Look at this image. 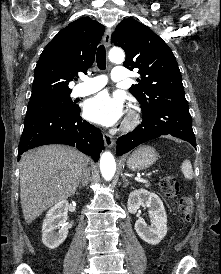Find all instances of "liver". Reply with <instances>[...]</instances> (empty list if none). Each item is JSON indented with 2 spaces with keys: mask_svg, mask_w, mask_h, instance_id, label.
I'll return each instance as SVG.
<instances>
[{
  "mask_svg": "<svg viewBox=\"0 0 221 274\" xmlns=\"http://www.w3.org/2000/svg\"><path fill=\"white\" fill-rule=\"evenodd\" d=\"M88 160L83 153L63 145L42 146L22 155L20 200L28 224L76 192Z\"/></svg>",
  "mask_w": 221,
  "mask_h": 274,
  "instance_id": "1",
  "label": "liver"
}]
</instances>
